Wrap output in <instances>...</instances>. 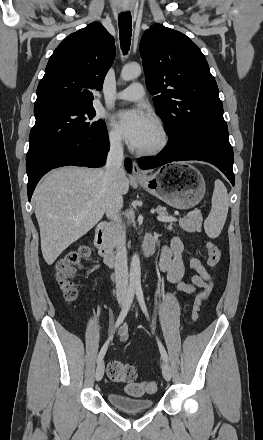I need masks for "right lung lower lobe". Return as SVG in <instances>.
Masks as SVG:
<instances>
[{"label":"right lung lower lobe","instance_id":"1","mask_svg":"<svg viewBox=\"0 0 263 440\" xmlns=\"http://www.w3.org/2000/svg\"><path fill=\"white\" fill-rule=\"evenodd\" d=\"M108 151L109 143L105 130L98 136L56 143L37 156L26 160L29 201L37 183L48 171L67 165L101 167L105 164ZM125 167L129 172L132 170L129 159L125 160Z\"/></svg>","mask_w":263,"mask_h":440}]
</instances>
